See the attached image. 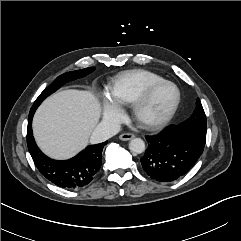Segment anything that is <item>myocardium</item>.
I'll return each mask as SVG.
<instances>
[{
  "label": "myocardium",
  "mask_w": 241,
  "mask_h": 241,
  "mask_svg": "<svg viewBox=\"0 0 241 241\" xmlns=\"http://www.w3.org/2000/svg\"><path fill=\"white\" fill-rule=\"evenodd\" d=\"M164 85H171L175 88L176 90V98L175 101L173 103V105L171 106V108L169 109V111L160 119L157 120H149L146 119L143 116V111L144 108L146 107V105L148 104V102L150 101L151 97L153 96V94L162 86ZM181 90L179 89V87L172 81L169 80H161L159 82H156L152 85H150L142 94L141 96L133 103L132 105V112H133V116L135 118V120L143 127L147 128V129H151V130H158V129H162L165 126H167L170 121L173 119V117L175 116L180 103H181Z\"/></svg>",
  "instance_id": "1"
}]
</instances>
